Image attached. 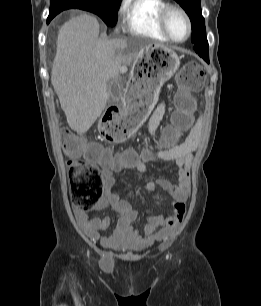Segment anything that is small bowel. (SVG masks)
Returning <instances> with one entry per match:
<instances>
[{"label": "small bowel", "mask_w": 261, "mask_h": 306, "mask_svg": "<svg viewBox=\"0 0 261 306\" xmlns=\"http://www.w3.org/2000/svg\"><path fill=\"white\" fill-rule=\"evenodd\" d=\"M166 112L165 103H160L153 111L148 123L147 130L155 135L156 130ZM201 122H197L192 130L179 144L169 148L157 149L146 155V158H160L173 161L179 167L178 179L175 183L166 178H158L147 183V189L154 191L160 187L168 192L173 199V212L165 218L160 215H151L142 229H137L133 223L138 220L139 212L118 193L115 192V178L113 173L124 169H134L141 173L148 171L145 160L118 161L113 158L109 151L107 160L103 163L104 189L101 200L96 209L108 206L113 207L119 214V220L113 231L107 236H101L100 232L107 230L111 225V218H91L88 211L77 210L75 218L84 234L93 241H99L101 245L110 250L142 249L155 241L172 237L180 227L186 211L185 201L190 191L189 167L192 162L193 153L200 144ZM77 160L68 161L71 168Z\"/></svg>", "instance_id": "c3829d8e"}]
</instances>
